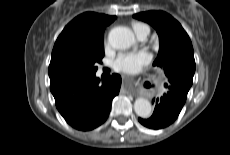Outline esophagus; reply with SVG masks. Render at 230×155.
<instances>
[{"label": "esophagus", "instance_id": "34e87169", "mask_svg": "<svg viewBox=\"0 0 230 155\" xmlns=\"http://www.w3.org/2000/svg\"><path fill=\"white\" fill-rule=\"evenodd\" d=\"M123 82H124V84H125V86L126 87H129V86H131V85H133L134 83L132 82V81H130L129 79H128V77L127 76H123Z\"/></svg>", "mask_w": 230, "mask_h": 155}]
</instances>
